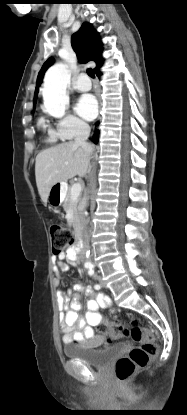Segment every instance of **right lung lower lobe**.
Returning <instances> with one entry per match:
<instances>
[{
    "mask_svg": "<svg viewBox=\"0 0 187 415\" xmlns=\"http://www.w3.org/2000/svg\"><path fill=\"white\" fill-rule=\"evenodd\" d=\"M100 69V68H99ZM95 74L98 76V77H100L101 75H102V73L100 72V70H97L96 72H95ZM97 139H98V135L96 136V138L93 140V142L94 143H97Z\"/></svg>",
    "mask_w": 187,
    "mask_h": 415,
    "instance_id": "right-lung-lower-lobe-1",
    "label": "right lung lower lobe"
}]
</instances>
